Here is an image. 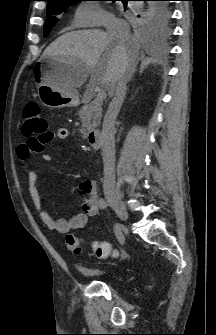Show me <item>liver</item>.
<instances>
[{"instance_id":"obj_1","label":"liver","mask_w":216,"mask_h":335,"mask_svg":"<svg viewBox=\"0 0 216 335\" xmlns=\"http://www.w3.org/2000/svg\"><path fill=\"white\" fill-rule=\"evenodd\" d=\"M137 44L129 40L120 45L99 29L65 33L43 52V58L73 59L71 70L65 75L66 88L75 90L91 75L92 85H101L113 92L117 72L123 58L133 62Z\"/></svg>"}]
</instances>
